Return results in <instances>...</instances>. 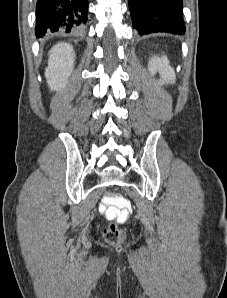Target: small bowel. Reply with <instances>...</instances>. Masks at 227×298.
<instances>
[{
	"instance_id": "small-bowel-1",
	"label": "small bowel",
	"mask_w": 227,
	"mask_h": 298,
	"mask_svg": "<svg viewBox=\"0 0 227 298\" xmlns=\"http://www.w3.org/2000/svg\"><path fill=\"white\" fill-rule=\"evenodd\" d=\"M100 210H101V211H105V207H104V205H101V206H100Z\"/></svg>"
}]
</instances>
